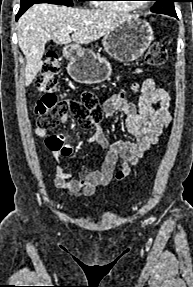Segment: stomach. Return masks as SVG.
Masks as SVG:
<instances>
[{
	"label": "stomach",
	"instance_id": "stomach-1",
	"mask_svg": "<svg viewBox=\"0 0 193 287\" xmlns=\"http://www.w3.org/2000/svg\"><path fill=\"white\" fill-rule=\"evenodd\" d=\"M153 40L151 25L145 20L131 18L107 33L103 38V46L105 52L114 59L129 63L142 56ZM63 52L69 60L67 71L78 83H99L111 75L108 61L90 49L68 45Z\"/></svg>",
	"mask_w": 193,
	"mask_h": 287
}]
</instances>
